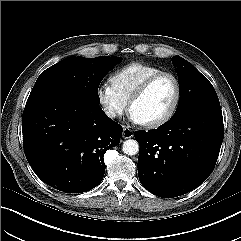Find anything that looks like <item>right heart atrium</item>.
Segmentation results:
<instances>
[{"label": "right heart atrium", "mask_w": 241, "mask_h": 241, "mask_svg": "<svg viewBox=\"0 0 241 241\" xmlns=\"http://www.w3.org/2000/svg\"><path fill=\"white\" fill-rule=\"evenodd\" d=\"M97 100L109 119L121 117L128 109V102L124 100L111 83L101 84L96 91Z\"/></svg>", "instance_id": "1"}]
</instances>
